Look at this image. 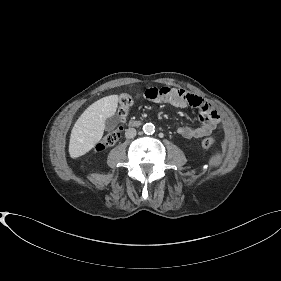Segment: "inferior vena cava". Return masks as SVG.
Returning a JSON list of instances; mask_svg holds the SVG:
<instances>
[{
	"mask_svg": "<svg viewBox=\"0 0 281 281\" xmlns=\"http://www.w3.org/2000/svg\"><path fill=\"white\" fill-rule=\"evenodd\" d=\"M136 136V129L129 128L125 131V137L128 139L134 138Z\"/></svg>",
	"mask_w": 281,
	"mask_h": 281,
	"instance_id": "602c4592",
	"label": "inferior vena cava"
}]
</instances>
